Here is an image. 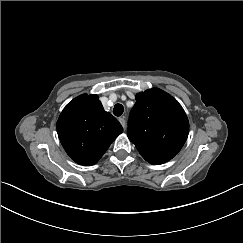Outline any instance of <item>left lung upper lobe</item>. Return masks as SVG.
I'll return each mask as SVG.
<instances>
[{
    "label": "left lung upper lobe",
    "instance_id": "5c2ea615",
    "mask_svg": "<svg viewBox=\"0 0 243 243\" xmlns=\"http://www.w3.org/2000/svg\"><path fill=\"white\" fill-rule=\"evenodd\" d=\"M188 133V118L171 95L158 88L136 95L127 135L146 161L163 164L171 160L183 147Z\"/></svg>",
    "mask_w": 243,
    "mask_h": 243
}]
</instances>
